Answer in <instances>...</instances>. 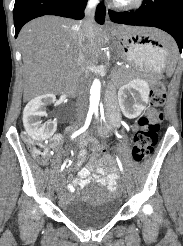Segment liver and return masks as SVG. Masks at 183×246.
<instances>
[{"instance_id":"liver-1","label":"liver","mask_w":183,"mask_h":246,"mask_svg":"<svg viewBox=\"0 0 183 246\" xmlns=\"http://www.w3.org/2000/svg\"><path fill=\"white\" fill-rule=\"evenodd\" d=\"M133 32L137 27H120ZM165 43L170 37L164 32L146 28ZM80 26L72 20L57 16H43L27 23L19 33L24 70V100L72 89L80 78L78 57L83 53L86 62L93 65L106 40L102 27L95 25L94 34L80 44Z\"/></svg>"}]
</instances>
